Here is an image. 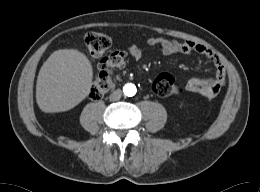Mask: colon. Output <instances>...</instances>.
<instances>
[{
  "mask_svg": "<svg viewBox=\"0 0 260 192\" xmlns=\"http://www.w3.org/2000/svg\"><path fill=\"white\" fill-rule=\"evenodd\" d=\"M85 45L89 56L94 60H99L100 71L89 94L91 99L99 100L114 87V73L125 67L126 58L120 51L104 56L111 46V39L102 32L91 31L87 33ZM152 90L160 97H168L178 94L181 88L171 74L161 73L153 81Z\"/></svg>",
  "mask_w": 260,
  "mask_h": 192,
  "instance_id": "5ec220e1",
  "label": "colon"
}]
</instances>
